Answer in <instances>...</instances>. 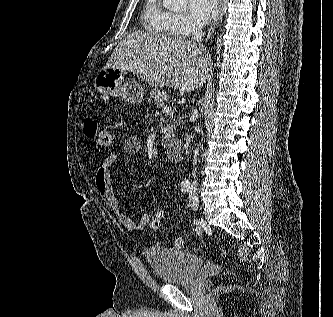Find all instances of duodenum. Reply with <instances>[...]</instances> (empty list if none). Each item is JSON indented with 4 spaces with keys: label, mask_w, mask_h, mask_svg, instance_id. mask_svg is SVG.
I'll use <instances>...</instances> for the list:
<instances>
[{
    "label": "duodenum",
    "mask_w": 333,
    "mask_h": 317,
    "mask_svg": "<svg viewBox=\"0 0 333 317\" xmlns=\"http://www.w3.org/2000/svg\"><path fill=\"white\" fill-rule=\"evenodd\" d=\"M167 158L171 162H179L183 155V146L180 139H172L167 144L166 149Z\"/></svg>",
    "instance_id": "duodenum-1"
}]
</instances>
